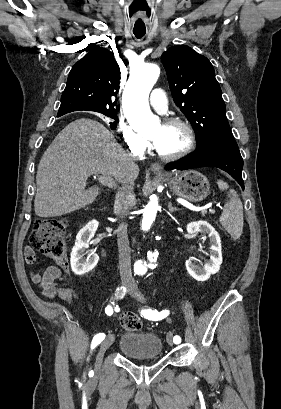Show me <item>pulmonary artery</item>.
<instances>
[{
  "label": "pulmonary artery",
  "instance_id": "1",
  "mask_svg": "<svg viewBox=\"0 0 281 409\" xmlns=\"http://www.w3.org/2000/svg\"><path fill=\"white\" fill-rule=\"evenodd\" d=\"M148 104L154 106L155 110H164V106H167L168 99L165 97L164 90H153L152 97L148 99Z\"/></svg>",
  "mask_w": 281,
  "mask_h": 409
}]
</instances>
